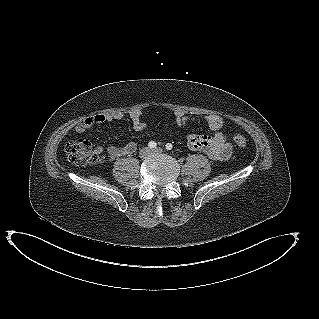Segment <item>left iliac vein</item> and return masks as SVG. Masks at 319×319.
Wrapping results in <instances>:
<instances>
[{"label": "left iliac vein", "instance_id": "left-iliac-vein-1", "mask_svg": "<svg viewBox=\"0 0 319 319\" xmlns=\"http://www.w3.org/2000/svg\"><path fill=\"white\" fill-rule=\"evenodd\" d=\"M163 149L162 148H155L151 151V153L156 154V153H162Z\"/></svg>", "mask_w": 319, "mask_h": 319}]
</instances>
